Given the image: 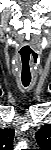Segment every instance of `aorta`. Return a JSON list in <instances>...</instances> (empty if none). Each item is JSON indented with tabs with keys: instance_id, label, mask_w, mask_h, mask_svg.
<instances>
[{
	"instance_id": "aorta-1",
	"label": "aorta",
	"mask_w": 51,
	"mask_h": 150,
	"mask_svg": "<svg viewBox=\"0 0 51 150\" xmlns=\"http://www.w3.org/2000/svg\"><path fill=\"white\" fill-rule=\"evenodd\" d=\"M27 147V143L26 141H21L17 144V146L15 147L16 150H21L23 148H26Z\"/></svg>"
}]
</instances>
